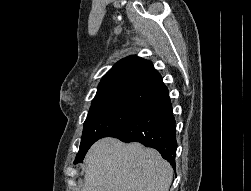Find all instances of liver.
<instances>
[{
	"instance_id": "1",
	"label": "liver",
	"mask_w": 251,
	"mask_h": 191,
	"mask_svg": "<svg viewBox=\"0 0 251 191\" xmlns=\"http://www.w3.org/2000/svg\"><path fill=\"white\" fill-rule=\"evenodd\" d=\"M81 191H169L173 169L153 147L102 137L84 159Z\"/></svg>"
}]
</instances>
